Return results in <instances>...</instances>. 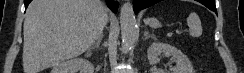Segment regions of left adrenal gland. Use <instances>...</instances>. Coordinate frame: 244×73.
<instances>
[{
	"instance_id": "1",
	"label": "left adrenal gland",
	"mask_w": 244,
	"mask_h": 73,
	"mask_svg": "<svg viewBox=\"0 0 244 73\" xmlns=\"http://www.w3.org/2000/svg\"><path fill=\"white\" fill-rule=\"evenodd\" d=\"M144 37H145V39H148V38L155 39L156 38L154 34L150 35L148 31L144 32Z\"/></svg>"
}]
</instances>
